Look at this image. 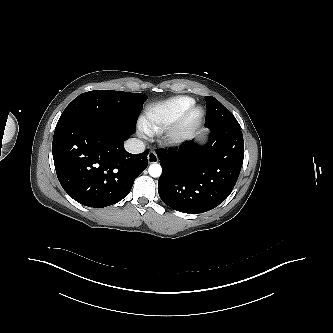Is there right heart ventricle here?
<instances>
[{"mask_svg": "<svg viewBox=\"0 0 333 333\" xmlns=\"http://www.w3.org/2000/svg\"><path fill=\"white\" fill-rule=\"evenodd\" d=\"M194 104V100L187 96L172 97L149 106L141 119L142 129L149 134L164 130Z\"/></svg>", "mask_w": 333, "mask_h": 333, "instance_id": "e07e8e85", "label": "right heart ventricle"}]
</instances>
